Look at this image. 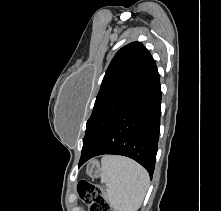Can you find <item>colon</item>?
<instances>
[{
	"instance_id": "5ec220e1",
	"label": "colon",
	"mask_w": 221,
	"mask_h": 211,
	"mask_svg": "<svg viewBox=\"0 0 221 211\" xmlns=\"http://www.w3.org/2000/svg\"><path fill=\"white\" fill-rule=\"evenodd\" d=\"M77 191L89 211H112V207L102 189L96 184L80 181L77 185Z\"/></svg>"
}]
</instances>
